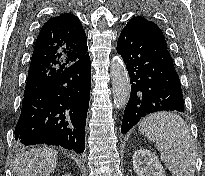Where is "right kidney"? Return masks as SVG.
<instances>
[{
  "mask_svg": "<svg viewBox=\"0 0 205 176\" xmlns=\"http://www.w3.org/2000/svg\"><path fill=\"white\" fill-rule=\"evenodd\" d=\"M63 176H71L70 174H66V175H63Z\"/></svg>",
  "mask_w": 205,
  "mask_h": 176,
  "instance_id": "ca27d5eb",
  "label": "right kidney"
}]
</instances>
